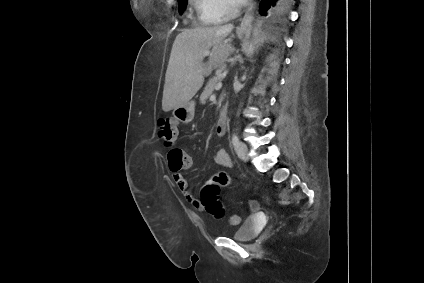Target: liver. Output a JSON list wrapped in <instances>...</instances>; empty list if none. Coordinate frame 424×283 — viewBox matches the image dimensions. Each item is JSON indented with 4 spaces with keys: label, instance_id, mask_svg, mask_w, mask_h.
Returning a JSON list of instances; mask_svg holds the SVG:
<instances>
[{
    "label": "liver",
    "instance_id": "obj_1",
    "mask_svg": "<svg viewBox=\"0 0 424 283\" xmlns=\"http://www.w3.org/2000/svg\"><path fill=\"white\" fill-rule=\"evenodd\" d=\"M233 25L201 26L179 33L172 46L163 89L162 109L167 112L188 103L204 77L221 67L233 52L227 36ZM204 51L209 60L203 63Z\"/></svg>",
    "mask_w": 424,
    "mask_h": 283
}]
</instances>
